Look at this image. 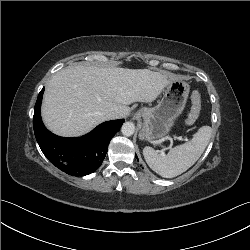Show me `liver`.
<instances>
[{"label":"liver","instance_id":"obj_1","mask_svg":"<svg viewBox=\"0 0 250 250\" xmlns=\"http://www.w3.org/2000/svg\"><path fill=\"white\" fill-rule=\"evenodd\" d=\"M178 78L167 72L78 64L60 70L47 84L41 114L46 127L66 137L83 135L108 120L130 113L134 102H152ZM117 118V119H118Z\"/></svg>","mask_w":250,"mask_h":250}]
</instances>
